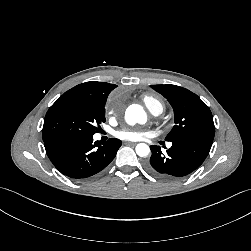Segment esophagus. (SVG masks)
I'll return each instance as SVG.
<instances>
[{
	"label": "esophagus",
	"instance_id": "1",
	"mask_svg": "<svg viewBox=\"0 0 251 251\" xmlns=\"http://www.w3.org/2000/svg\"><path fill=\"white\" fill-rule=\"evenodd\" d=\"M125 144H127V145H135V144H136V142L126 141V143H125Z\"/></svg>",
	"mask_w": 251,
	"mask_h": 251
}]
</instances>
